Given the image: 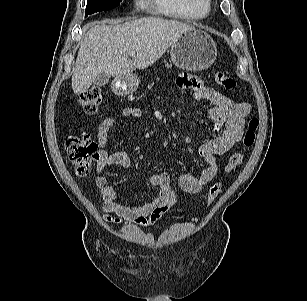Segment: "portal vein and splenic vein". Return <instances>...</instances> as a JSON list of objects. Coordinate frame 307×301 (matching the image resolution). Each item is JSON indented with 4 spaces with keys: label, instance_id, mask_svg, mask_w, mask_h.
<instances>
[{
    "label": "portal vein and splenic vein",
    "instance_id": "18ae733b",
    "mask_svg": "<svg viewBox=\"0 0 307 301\" xmlns=\"http://www.w3.org/2000/svg\"><path fill=\"white\" fill-rule=\"evenodd\" d=\"M129 55L133 57V56L136 55V52L132 51V52L129 53Z\"/></svg>",
    "mask_w": 307,
    "mask_h": 301
}]
</instances>
